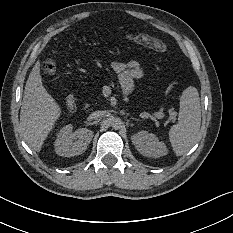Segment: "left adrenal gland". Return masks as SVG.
I'll return each instance as SVG.
<instances>
[{"mask_svg":"<svg viewBox=\"0 0 233 233\" xmlns=\"http://www.w3.org/2000/svg\"><path fill=\"white\" fill-rule=\"evenodd\" d=\"M131 119H132V120H135V121H138V119H137V118H134V117H131Z\"/></svg>","mask_w":233,"mask_h":233,"instance_id":"obj_1","label":"left adrenal gland"}]
</instances>
